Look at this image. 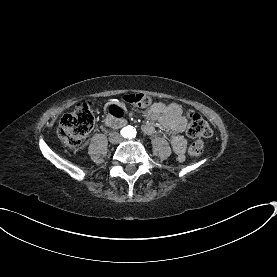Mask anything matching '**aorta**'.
Here are the masks:
<instances>
[{
    "mask_svg": "<svg viewBox=\"0 0 277 277\" xmlns=\"http://www.w3.org/2000/svg\"><path fill=\"white\" fill-rule=\"evenodd\" d=\"M129 129H130V131L135 132V130L132 127H130Z\"/></svg>",
    "mask_w": 277,
    "mask_h": 277,
    "instance_id": "1",
    "label": "aorta"
}]
</instances>
